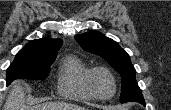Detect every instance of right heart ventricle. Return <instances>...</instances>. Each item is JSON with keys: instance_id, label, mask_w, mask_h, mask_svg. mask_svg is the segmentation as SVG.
<instances>
[{"instance_id": "obj_1", "label": "right heart ventricle", "mask_w": 171, "mask_h": 110, "mask_svg": "<svg viewBox=\"0 0 171 110\" xmlns=\"http://www.w3.org/2000/svg\"><path fill=\"white\" fill-rule=\"evenodd\" d=\"M90 69L81 58L75 55L67 56L58 74V94L79 101L94 100L87 86V75Z\"/></svg>"}]
</instances>
